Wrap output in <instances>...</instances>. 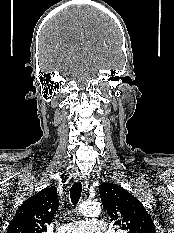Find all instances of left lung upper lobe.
I'll return each mask as SVG.
<instances>
[{
    "label": "left lung upper lobe",
    "mask_w": 174,
    "mask_h": 233,
    "mask_svg": "<svg viewBox=\"0 0 174 233\" xmlns=\"http://www.w3.org/2000/svg\"><path fill=\"white\" fill-rule=\"evenodd\" d=\"M103 207L125 233H156L152 218L142 203L121 186L103 183L99 186Z\"/></svg>",
    "instance_id": "left-lung-upper-lobe-1"
}]
</instances>
